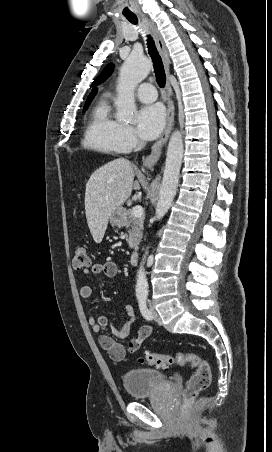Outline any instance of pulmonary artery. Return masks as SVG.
<instances>
[{
  "label": "pulmonary artery",
  "mask_w": 272,
  "mask_h": 452,
  "mask_svg": "<svg viewBox=\"0 0 272 452\" xmlns=\"http://www.w3.org/2000/svg\"><path fill=\"white\" fill-rule=\"evenodd\" d=\"M137 97L143 103H151L157 99V92L152 84L142 83L137 88Z\"/></svg>",
  "instance_id": "pulmonary-artery-1"
}]
</instances>
